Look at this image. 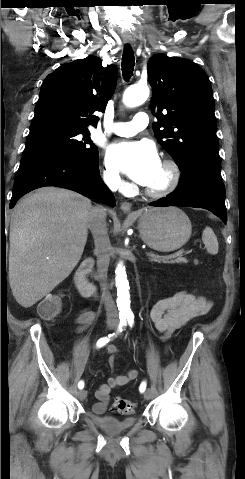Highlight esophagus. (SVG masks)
<instances>
[{
  "label": "esophagus",
  "instance_id": "obj_1",
  "mask_svg": "<svg viewBox=\"0 0 245 479\" xmlns=\"http://www.w3.org/2000/svg\"><path fill=\"white\" fill-rule=\"evenodd\" d=\"M124 43H125V44H132V40H130V39H125V40H124ZM131 207H132L131 203L126 202V201H125V202H122L121 205H120L121 210H122L124 213H129V214H131Z\"/></svg>",
  "mask_w": 245,
  "mask_h": 479
}]
</instances>
